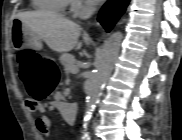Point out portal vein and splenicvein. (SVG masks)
<instances>
[{
    "label": "portal vein and splenic vein",
    "mask_w": 182,
    "mask_h": 140,
    "mask_svg": "<svg viewBox=\"0 0 182 140\" xmlns=\"http://www.w3.org/2000/svg\"><path fill=\"white\" fill-rule=\"evenodd\" d=\"M79 71V69L78 68H75L72 72L73 73H77Z\"/></svg>",
    "instance_id": "portal-vein-and-splenic-vein-1"
}]
</instances>
